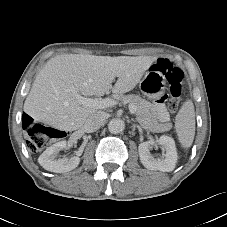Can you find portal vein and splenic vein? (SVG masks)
I'll return each mask as SVG.
<instances>
[{
  "instance_id": "portal-vein-and-splenic-vein-1",
  "label": "portal vein and splenic vein",
  "mask_w": 227,
  "mask_h": 227,
  "mask_svg": "<svg viewBox=\"0 0 227 227\" xmlns=\"http://www.w3.org/2000/svg\"><path fill=\"white\" fill-rule=\"evenodd\" d=\"M80 103L87 107H92L96 109H104L108 107H112L117 104V102L110 98L99 99V98H86L80 95H77ZM129 111L131 114L136 113V107L134 105H129Z\"/></svg>"
}]
</instances>
